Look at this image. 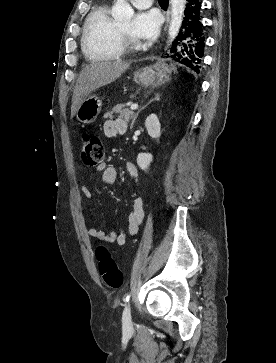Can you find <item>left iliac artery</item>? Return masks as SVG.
<instances>
[{"mask_svg":"<svg viewBox=\"0 0 276 363\" xmlns=\"http://www.w3.org/2000/svg\"><path fill=\"white\" fill-rule=\"evenodd\" d=\"M130 299V293H128L125 298H124V302H128Z\"/></svg>","mask_w":276,"mask_h":363,"instance_id":"44dca946","label":"left iliac artery"}]
</instances>
